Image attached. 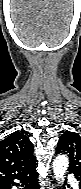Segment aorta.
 I'll use <instances>...</instances> for the list:
<instances>
[{
	"label": "aorta",
	"instance_id": "762f6f07",
	"mask_svg": "<svg viewBox=\"0 0 81 189\" xmlns=\"http://www.w3.org/2000/svg\"><path fill=\"white\" fill-rule=\"evenodd\" d=\"M68 158L65 155H59L53 162V172L57 180L63 179L67 168H68Z\"/></svg>",
	"mask_w": 81,
	"mask_h": 189
}]
</instances>
